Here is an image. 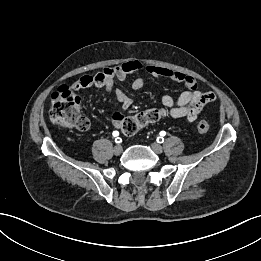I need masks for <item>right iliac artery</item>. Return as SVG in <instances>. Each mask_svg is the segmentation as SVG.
<instances>
[{
  "instance_id": "82829eb1",
  "label": "right iliac artery",
  "mask_w": 261,
  "mask_h": 261,
  "mask_svg": "<svg viewBox=\"0 0 261 261\" xmlns=\"http://www.w3.org/2000/svg\"><path fill=\"white\" fill-rule=\"evenodd\" d=\"M118 135H119V132H118V131H114V132H113V136L117 137ZM115 142H116L117 144H119V143L122 142V139H121L120 137H117V138H115Z\"/></svg>"
}]
</instances>
